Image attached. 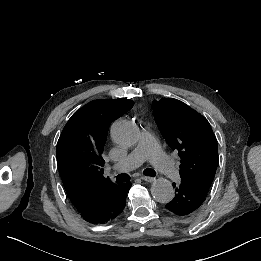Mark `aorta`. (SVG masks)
<instances>
[{"label": "aorta", "instance_id": "1", "mask_svg": "<svg viewBox=\"0 0 261 261\" xmlns=\"http://www.w3.org/2000/svg\"><path fill=\"white\" fill-rule=\"evenodd\" d=\"M139 135V128L129 120L116 121L111 127L112 139L121 146H133L138 142ZM151 194L157 202L169 203L174 197L172 183L165 178L155 180L151 186Z\"/></svg>", "mask_w": 261, "mask_h": 261}]
</instances>
